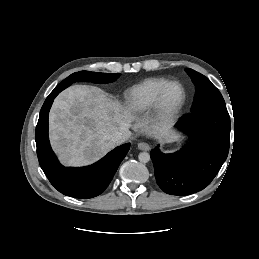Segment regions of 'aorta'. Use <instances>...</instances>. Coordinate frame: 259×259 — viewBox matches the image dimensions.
<instances>
[{
  "label": "aorta",
  "instance_id": "aorta-1",
  "mask_svg": "<svg viewBox=\"0 0 259 259\" xmlns=\"http://www.w3.org/2000/svg\"><path fill=\"white\" fill-rule=\"evenodd\" d=\"M138 159L141 163H147L150 161V155L149 153L147 152H141L139 155H138Z\"/></svg>",
  "mask_w": 259,
  "mask_h": 259
}]
</instances>
